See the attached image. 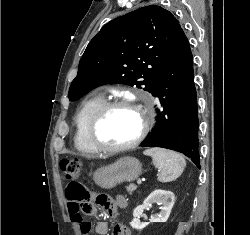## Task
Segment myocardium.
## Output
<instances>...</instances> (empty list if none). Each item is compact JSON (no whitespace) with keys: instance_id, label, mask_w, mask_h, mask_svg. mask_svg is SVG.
I'll return each instance as SVG.
<instances>
[{"instance_id":"myocardium-1","label":"myocardium","mask_w":250,"mask_h":235,"mask_svg":"<svg viewBox=\"0 0 250 235\" xmlns=\"http://www.w3.org/2000/svg\"><path fill=\"white\" fill-rule=\"evenodd\" d=\"M128 107L136 110L141 116V128L138 135L129 143L122 145H109L102 142L99 138V126L104 117L115 108ZM150 124V117L148 110L136 99L129 97H119L113 100L105 101L92 115L88 127L87 137L93 147L99 151L107 153H116L127 151L137 147L146 137Z\"/></svg>"}]
</instances>
